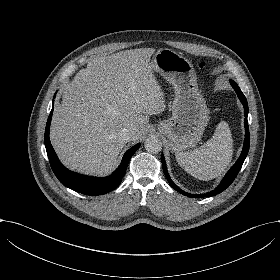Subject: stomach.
I'll list each match as a JSON object with an SVG mask.
<instances>
[{"instance_id":"0dacf381","label":"stomach","mask_w":280,"mask_h":280,"mask_svg":"<svg viewBox=\"0 0 280 280\" xmlns=\"http://www.w3.org/2000/svg\"><path fill=\"white\" fill-rule=\"evenodd\" d=\"M153 71L166 79L174 89L172 117L161 121L157 128L175 152L196 146L209 121V110L201 95L197 76L190 60L163 48L152 58Z\"/></svg>"}]
</instances>
